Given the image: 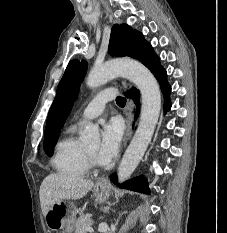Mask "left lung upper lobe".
Returning <instances> with one entry per match:
<instances>
[{"mask_svg":"<svg viewBox=\"0 0 227 233\" xmlns=\"http://www.w3.org/2000/svg\"><path fill=\"white\" fill-rule=\"evenodd\" d=\"M108 52L112 56L138 59L150 69L153 75L163 68L152 46L143 38V35L126 24H115L112 27ZM86 69V61L71 60L57 87L45 130L44 150L48 156L53 154L60 130L78 95Z\"/></svg>","mask_w":227,"mask_h":233,"instance_id":"1","label":"left lung upper lobe"}]
</instances>
